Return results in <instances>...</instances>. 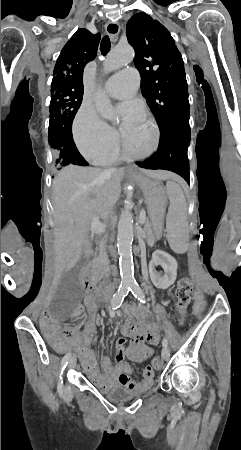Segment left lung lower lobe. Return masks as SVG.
Masks as SVG:
<instances>
[{"label":"left lung lower lobe","mask_w":241,"mask_h":450,"mask_svg":"<svg viewBox=\"0 0 241 450\" xmlns=\"http://www.w3.org/2000/svg\"><path fill=\"white\" fill-rule=\"evenodd\" d=\"M189 116V108L181 109L159 125L160 142L157 152L147 161L137 165L146 169H165L175 172L190 184L187 157L190 138Z\"/></svg>","instance_id":"1"}]
</instances>
